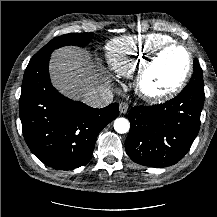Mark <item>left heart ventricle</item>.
<instances>
[{
  "instance_id": "left-heart-ventricle-1",
  "label": "left heart ventricle",
  "mask_w": 217,
  "mask_h": 217,
  "mask_svg": "<svg viewBox=\"0 0 217 217\" xmlns=\"http://www.w3.org/2000/svg\"><path fill=\"white\" fill-rule=\"evenodd\" d=\"M188 58L181 49L167 50L148 74L146 87L152 92L171 89L187 69Z\"/></svg>"
}]
</instances>
